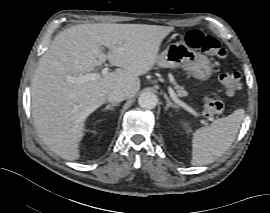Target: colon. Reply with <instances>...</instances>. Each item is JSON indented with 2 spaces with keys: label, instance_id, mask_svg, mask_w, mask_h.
I'll list each match as a JSON object with an SVG mask.
<instances>
[{
  "label": "colon",
  "instance_id": "colon-1",
  "mask_svg": "<svg viewBox=\"0 0 270 213\" xmlns=\"http://www.w3.org/2000/svg\"><path fill=\"white\" fill-rule=\"evenodd\" d=\"M186 43L195 50H201L206 54L217 58L227 56L226 48L214 37L204 35L197 30H191L186 34ZM221 85L225 92L236 95L240 90V74L233 71L221 76ZM223 108L222 102L213 95H205L202 99V114L206 117L218 115Z\"/></svg>",
  "mask_w": 270,
  "mask_h": 213
}]
</instances>
